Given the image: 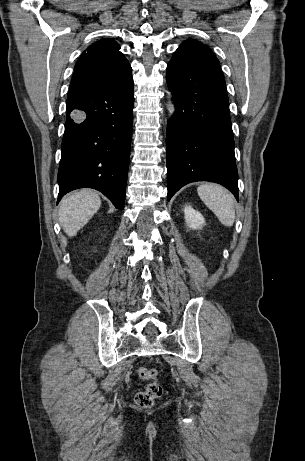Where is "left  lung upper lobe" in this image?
Returning <instances> with one entry per match:
<instances>
[{
    "label": "left lung upper lobe",
    "mask_w": 305,
    "mask_h": 461,
    "mask_svg": "<svg viewBox=\"0 0 305 461\" xmlns=\"http://www.w3.org/2000/svg\"><path fill=\"white\" fill-rule=\"evenodd\" d=\"M174 54L192 55L194 57H213L216 58L209 47L196 41L186 40L175 51Z\"/></svg>",
    "instance_id": "left-lung-upper-lobe-1"
}]
</instances>
